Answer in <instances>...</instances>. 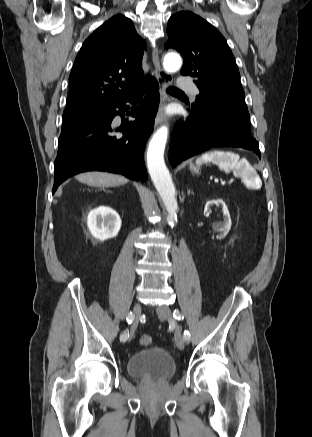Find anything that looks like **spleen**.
<instances>
[{"label": "spleen", "mask_w": 312, "mask_h": 437, "mask_svg": "<svg viewBox=\"0 0 312 437\" xmlns=\"http://www.w3.org/2000/svg\"><path fill=\"white\" fill-rule=\"evenodd\" d=\"M204 162L216 164L225 173L232 171L235 175L246 180L254 189L261 187V180L256 172L245 159H240L238 154L229 151L206 152L196 160L197 164Z\"/></svg>", "instance_id": "3e777b00"}]
</instances>
